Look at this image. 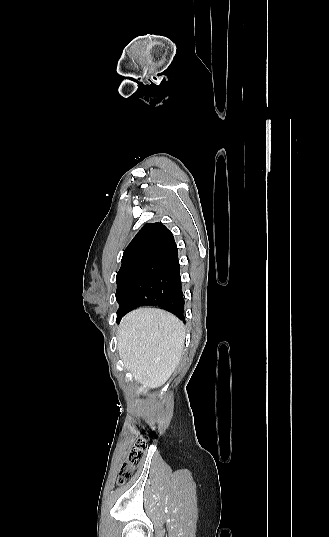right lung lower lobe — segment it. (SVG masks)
Returning <instances> with one entry per match:
<instances>
[{"label":"right lung lower lobe","mask_w":329,"mask_h":537,"mask_svg":"<svg viewBox=\"0 0 329 537\" xmlns=\"http://www.w3.org/2000/svg\"><path fill=\"white\" fill-rule=\"evenodd\" d=\"M141 305L159 306L185 322L177 247L149 263L136 277L117 312V322Z\"/></svg>","instance_id":"98d812e1"}]
</instances>
